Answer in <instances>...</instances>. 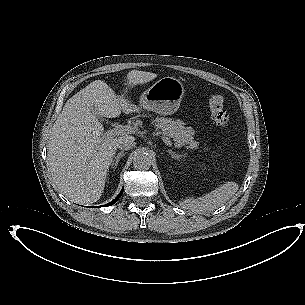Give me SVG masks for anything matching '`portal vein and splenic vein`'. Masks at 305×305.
I'll list each match as a JSON object with an SVG mask.
<instances>
[{
  "mask_svg": "<svg viewBox=\"0 0 305 305\" xmlns=\"http://www.w3.org/2000/svg\"><path fill=\"white\" fill-rule=\"evenodd\" d=\"M132 129L128 126H117L116 128H113L111 131H110V136L114 135H119V134H123V133H126V132H129L131 131Z\"/></svg>",
  "mask_w": 305,
  "mask_h": 305,
  "instance_id": "obj_1",
  "label": "portal vein and splenic vein"
}]
</instances>
